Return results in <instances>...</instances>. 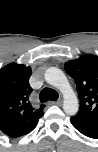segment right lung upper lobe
I'll list each match as a JSON object with an SVG mask.
<instances>
[{"label": "right lung upper lobe", "mask_w": 98, "mask_h": 152, "mask_svg": "<svg viewBox=\"0 0 98 152\" xmlns=\"http://www.w3.org/2000/svg\"><path fill=\"white\" fill-rule=\"evenodd\" d=\"M31 68L10 63L0 70V131L9 137H19L38 123L44 114L30 102Z\"/></svg>", "instance_id": "obj_1"}]
</instances>
